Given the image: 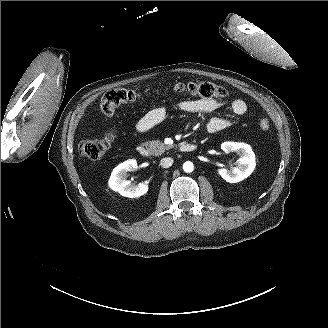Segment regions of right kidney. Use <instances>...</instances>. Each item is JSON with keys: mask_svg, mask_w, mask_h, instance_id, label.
<instances>
[{"mask_svg": "<svg viewBox=\"0 0 328 328\" xmlns=\"http://www.w3.org/2000/svg\"><path fill=\"white\" fill-rule=\"evenodd\" d=\"M138 169V162L136 159H129L118 165L112 172L109 186L119 192L122 196L129 198H137L145 195L148 192L149 185L140 183L136 186H130V181L125 179V175L129 171Z\"/></svg>", "mask_w": 328, "mask_h": 328, "instance_id": "right-kidney-1", "label": "right kidney"}]
</instances>
